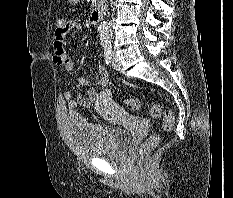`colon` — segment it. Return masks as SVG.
I'll use <instances>...</instances> for the list:
<instances>
[{
  "instance_id": "1",
  "label": "colon",
  "mask_w": 233,
  "mask_h": 198,
  "mask_svg": "<svg viewBox=\"0 0 233 198\" xmlns=\"http://www.w3.org/2000/svg\"><path fill=\"white\" fill-rule=\"evenodd\" d=\"M65 20L59 18L55 22V31L60 32L63 30ZM127 106L133 110H139L141 107V103L136 98H130L126 102ZM149 113L152 118H160L163 117V124L162 130L164 132H170L175 124V115L172 110L164 108L161 104L156 103L153 104L150 109ZM161 139V135L158 133L152 134L139 148L138 156L141 160H144L148 154V152L155 147Z\"/></svg>"
}]
</instances>
